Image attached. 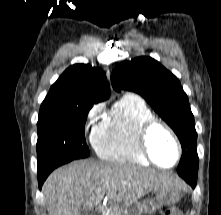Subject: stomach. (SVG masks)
<instances>
[{
  "label": "stomach",
  "instance_id": "0dacf381",
  "mask_svg": "<svg viewBox=\"0 0 221 215\" xmlns=\"http://www.w3.org/2000/svg\"><path fill=\"white\" fill-rule=\"evenodd\" d=\"M181 199V190L177 188H165L154 190L151 196L142 202H135L121 206L123 215H151L163 206H172Z\"/></svg>",
  "mask_w": 221,
  "mask_h": 215
}]
</instances>
